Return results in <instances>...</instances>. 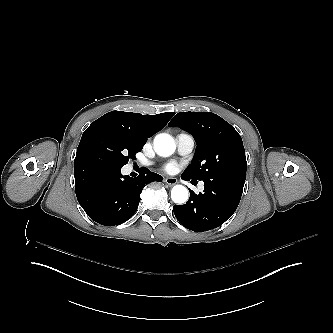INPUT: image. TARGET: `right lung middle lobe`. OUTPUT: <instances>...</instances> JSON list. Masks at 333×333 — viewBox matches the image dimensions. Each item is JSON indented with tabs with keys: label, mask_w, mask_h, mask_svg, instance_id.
Here are the masks:
<instances>
[{
	"label": "right lung middle lobe",
	"mask_w": 333,
	"mask_h": 333,
	"mask_svg": "<svg viewBox=\"0 0 333 333\" xmlns=\"http://www.w3.org/2000/svg\"><path fill=\"white\" fill-rule=\"evenodd\" d=\"M143 146L114 129L96 127L82 135L76 156L97 157L112 167L122 168Z\"/></svg>",
	"instance_id": "right-lung-middle-lobe-1"
}]
</instances>
